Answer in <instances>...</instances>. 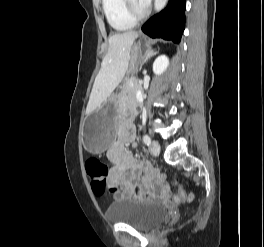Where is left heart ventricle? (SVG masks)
Instances as JSON below:
<instances>
[{
    "label": "left heart ventricle",
    "mask_w": 264,
    "mask_h": 247,
    "mask_svg": "<svg viewBox=\"0 0 264 247\" xmlns=\"http://www.w3.org/2000/svg\"><path fill=\"white\" fill-rule=\"evenodd\" d=\"M133 2H134V5H135V7H136V9L138 10V11H141V10H143L145 7L144 6H142L139 2H138V0H133Z\"/></svg>",
    "instance_id": "b2bd125f"
}]
</instances>
